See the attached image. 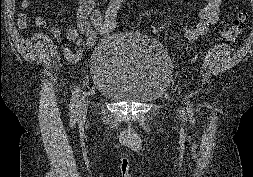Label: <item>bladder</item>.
<instances>
[{"label":"bladder","mask_w":253,"mask_h":177,"mask_svg":"<svg viewBox=\"0 0 253 177\" xmlns=\"http://www.w3.org/2000/svg\"><path fill=\"white\" fill-rule=\"evenodd\" d=\"M95 91L120 103L158 100L172 78V63L155 39L116 32L98 45L90 61Z\"/></svg>","instance_id":"obj_1"}]
</instances>
